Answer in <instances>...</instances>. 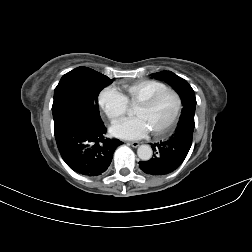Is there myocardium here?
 Here are the masks:
<instances>
[{"label": "myocardium", "mask_w": 252, "mask_h": 252, "mask_svg": "<svg viewBox=\"0 0 252 252\" xmlns=\"http://www.w3.org/2000/svg\"><path fill=\"white\" fill-rule=\"evenodd\" d=\"M164 93H172L175 95L176 100H177V105H176V109L174 111V114L172 116V118L170 119L169 123L162 129L157 130V131H151V134L153 136H163L168 134L175 126L178 117L180 115L181 109H182V98L180 96V94L173 88H165L162 90H159L155 93H153L152 95L148 96L147 98H145L144 100L140 101L138 103V106H143V107H148L150 105H152L156 99H158L161 95H163Z\"/></svg>", "instance_id": "myocardium-1"}]
</instances>
